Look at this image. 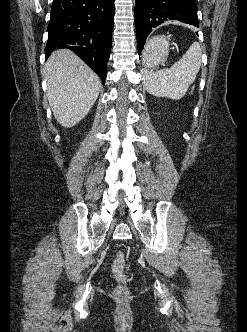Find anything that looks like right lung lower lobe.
Returning <instances> with one entry per match:
<instances>
[{
  "label": "right lung lower lobe",
  "mask_w": 247,
  "mask_h": 332,
  "mask_svg": "<svg viewBox=\"0 0 247 332\" xmlns=\"http://www.w3.org/2000/svg\"><path fill=\"white\" fill-rule=\"evenodd\" d=\"M115 0H53L46 57L56 48L76 53L105 84Z\"/></svg>",
  "instance_id": "1"
}]
</instances>
